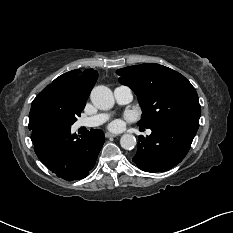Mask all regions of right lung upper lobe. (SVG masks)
Masks as SVG:
<instances>
[{"mask_svg":"<svg viewBox=\"0 0 233 233\" xmlns=\"http://www.w3.org/2000/svg\"><path fill=\"white\" fill-rule=\"evenodd\" d=\"M97 78L98 73L93 69L84 72L73 70L56 78L42 92H57L76 103L86 104Z\"/></svg>","mask_w":233,"mask_h":233,"instance_id":"1","label":"right lung upper lobe"}]
</instances>
